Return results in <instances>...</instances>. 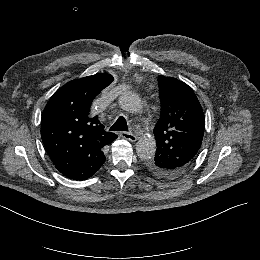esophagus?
<instances>
[{"mask_svg": "<svg viewBox=\"0 0 260 260\" xmlns=\"http://www.w3.org/2000/svg\"><path fill=\"white\" fill-rule=\"evenodd\" d=\"M120 135H121L124 139H127V140H129V141H132V142L137 141V137H136L134 134L130 133V132H121Z\"/></svg>", "mask_w": 260, "mask_h": 260, "instance_id": "obj_1", "label": "esophagus"}]
</instances>
